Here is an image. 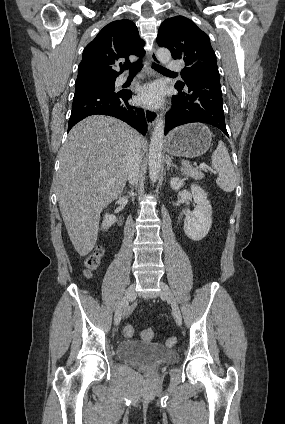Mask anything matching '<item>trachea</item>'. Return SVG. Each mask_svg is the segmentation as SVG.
Listing matches in <instances>:
<instances>
[{"label": "trachea", "instance_id": "3493384b", "mask_svg": "<svg viewBox=\"0 0 285 424\" xmlns=\"http://www.w3.org/2000/svg\"><path fill=\"white\" fill-rule=\"evenodd\" d=\"M142 66H143L142 60L140 59L137 62H134L132 64L124 65L123 68L124 69H129V74L132 75V74H137L142 69ZM152 67L156 71H158V72H162V73H175V72H172V71H170V70H168V69H166V68H164V67H162V66H160L158 64H152Z\"/></svg>", "mask_w": 285, "mask_h": 424}]
</instances>
